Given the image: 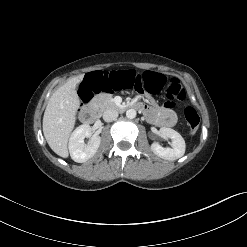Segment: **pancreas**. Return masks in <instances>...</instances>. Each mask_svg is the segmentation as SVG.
Listing matches in <instances>:
<instances>
[{"mask_svg": "<svg viewBox=\"0 0 247 247\" xmlns=\"http://www.w3.org/2000/svg\"><path fill=\"white\" fill-rule=\"evenodd\" d=\"M95 103L100 111H104L108 108H116L112 96L107 94H100L96 97Z\"/></svg>", "mask_w": 247, "mask_h": 247, "instance_id": "pancreas-1", "label": "pancreas"}]
</instances>
